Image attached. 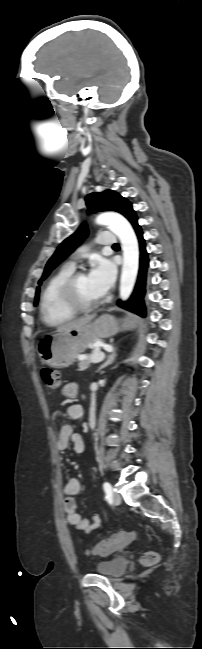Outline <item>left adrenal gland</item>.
Instances as JSON below:
<instances>
[{
  "mask_svg": "<svg viewBox=\"0 0 202 649\" xmlns=\"http://www.w3.org/2000/svg\"><path fill=\"white\" fill-rule=\"evenodd\" d=\"M116 358V350H113L111 354L108 355L106 361L98 368L97 372L101 371L103 368L112 364Z\"/></svg>",
  "mask_w": 202,
  "mask_h": 649,
  "instance_id": "1",
  "label": "left adrenal gland"
}]
</instances>
